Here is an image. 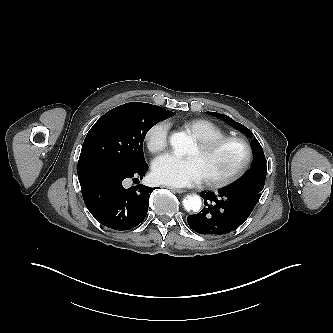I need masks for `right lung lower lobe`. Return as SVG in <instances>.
<instances>
[{"label":"right lung lower lobe","mask_w":333,"mask_h":333,"mask_svg":"<svg viewBox=\"0 0 333 333\" xmlns=\"http://www.w3.org/2000/svg\"><path fill=\"white\" fill-rule=\"evenodd\" d=\"M78 178L85 205L102 225L115 230H129L146 217L153 188L139 185L123 187L126 178L138 177L148 165L129 168L112 161L78 163Z\"/></svg>","instance_id":"1"}]
</instances>
